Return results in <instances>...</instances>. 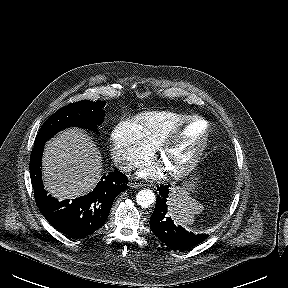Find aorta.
I'll return each instance as SVG.
<instances>
[{"label":"aorta","instance_id":"762f6f07","mask_svg":"<svg viewBox=\"0 0 288 288\" xmlns=\"http://www.w3.org/2000/svg\"><path fill=\"white\" fill-rule=\"evenodd\" d=\"M156 200L155 194L150 189H143L136 195V202L142 208H148L154 204Z\"/></svg>","mask_w":288,"mask_h":288}]
</instances>
